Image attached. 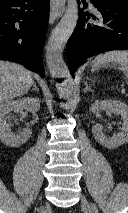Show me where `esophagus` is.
Wrapping results in <instances>:
<instances>
[{"label":"esophagus","instance_id":"obj_1","mask_svg":"<svg viewBox=\"0 0 128 213\" xmlns=\"http://www.w3.org/2000/svg\"><path fill=\"white\" fill-rule=\"evenodd\" d=\"M65 8V0H51L49 23L52 25L62 15Z\"/></svg>","mask_w":128,"mask_h":213}]
</instances>
